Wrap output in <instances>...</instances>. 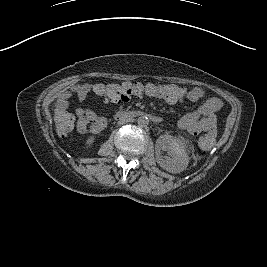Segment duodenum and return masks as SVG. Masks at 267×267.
I'll list each match as a JSON object with an SVG mask.
<instances>
[{
    "mask_svg": "<svg viewBox=\"0 0 267 267\" xmlns=\"http://www.w3.org/2000/svg\"><path fill=\"white\" fill-rule=\"evenodd\" d=\"M146 113L139 111V110H134V111H128V112H123V111H118L116 116H127L130 118H137V117H141L144 116ZM151 121H153L154 123H160L161 122V118L159 116H151Z\"/></svg>",
    "mask_w": 267,
    "mask_h": 267,
    "instance_id": "duodenum-1",
    "label": "duodenum"
}]
</instances>
